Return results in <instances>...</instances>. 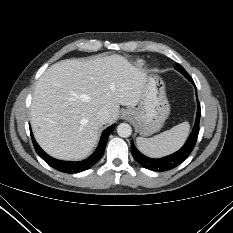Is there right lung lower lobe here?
I'll return each mask as SVG.
<instances>
[{"instance_id": "right-lung-lower-lobe-1", "label": "right lung lower lobe", "mask_w": 233, "mask_h": 233, "mask_svg": "<svg viewBox=\"0 0 233 233\" xmlns=\"http://www.w3.org/2000/svg\"><path fill=\"white\" fill-rule=\"evenodd\" d=\"M114 128H115V124L108 127L107 129H105L101 135L100 142H99L98 147L96 148L95 152L89 158H87L83 161H79V162L61 161V160H57V159L50 157L36 143L31 130H30V133H31L33 145H34V148H35L37 154L48 165H50L52 168H54L58 171L64 172V173H76V172H80V171L89 169L90 167H92L94 164H96L99 161V159L102 157V155L105 151L108 137Z\"/></svg>"}]
</instances>
